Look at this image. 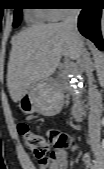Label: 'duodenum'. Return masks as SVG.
<instances>
[{
  "label": "duodenum",
  "instance_id": "obj_1",
  "mask_svg": "<svg viewBox=\"0 0 104 169\" xmlns=\"http://www.w3.org/2000/svg\"><path fill=\"white\" fill-rule=\"evenodd\" d=\"M73 115L75 120H81L84 114V106L83 104H75L72 108Z\"/></svg>",
  "mask_w": 104,
  "mask_h": 169
}]
</instances>
